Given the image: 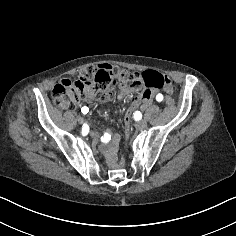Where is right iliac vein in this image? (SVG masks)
Masks as SVG:
<instances>
[{"label": "right iliac vein", "mask_w": 236, "mask_h": 236, "mask_svg": "<svg viewBox=\"0 0 236 236\" xmlns=\"http://www.w3.org/2000/svg\"><path fill=\"white\" fill-rule=\"evenodd\" d=\"M91 134L94 136L96 133L93 131Z\"/></svg>", "instance_id": "obj_1"}]
</instances>
